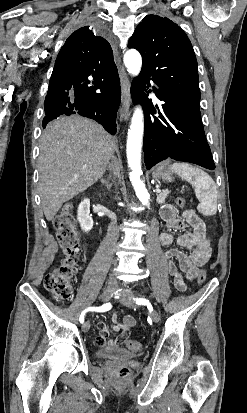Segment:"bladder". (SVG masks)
<instances>
[{"label": "bladder", "instance_id": "bladder-1", "mask_svg": "<svg viewBox=\"0 0 247 413\" xmlns=\"http://www.w3.org/2000/svg\"><path fill=\"white\" fill-rule=\"evenodd\" d=\"M96 355L98 359L118 358V359L127 360V359H131L135 355V352H131L125 349L115 348L111 346H105V347H98L96 351Z\"/></svg>", "mask_w": 247, "mask_h": 413}]
</instances>
